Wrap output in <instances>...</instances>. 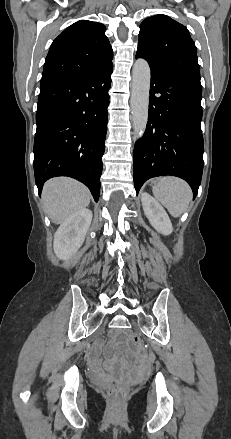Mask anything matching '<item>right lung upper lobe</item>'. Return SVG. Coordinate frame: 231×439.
I'll return each instance as SVG.
<instances>
[{
    "label": "right lung upper lobe",
    "mask_w": 231,
    "mask_h": 439,
    "mask_svg": "<svg viewBox=\"0 0 231 439\" xmlns=\"http://www.w3.org/2000/svg\"><path fill=\"white\" fill-rule=\"evenodd\" d=\"M101 23L80 20L66 28L52 43L41 87L88 77L110 63L113 51Z\"/></svg>",
    "instance_id": "1"
}]
</instances>
